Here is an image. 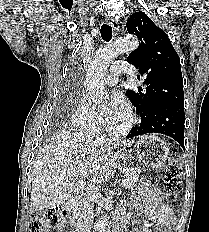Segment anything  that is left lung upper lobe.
<instances>
[{"label": "left lung upper lobe", "instance_id": "5c2ea615", "mask_svg": "<svg viewBox=\"0 0 209 232\" xmlns=\"http://www.w3.org/2000/svg\"><path fill=\"white\" fill-rule=\"evenodd\" d=\"M128 33L140 39L127 58L145 78V86L128 90L127 95L140 117L159 106L184 103L180 59L167 34L142 11L127 20Z\"/></svg>", "mask_w": 209, "mask_h": 232}]
</instances>
